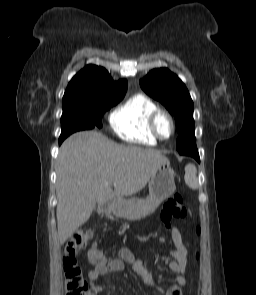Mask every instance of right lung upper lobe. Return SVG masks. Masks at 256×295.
<instances>
[{"label": "right lung upper lobe", "instance_id": "cb5924a9", "mask_svg": "<svg viewBox=\"0 0 256 295\" xmlns=\"http://www.w3.org/2000/svg\"><path fill=\"white\" fill-rule=\"evenodd\" d=\"M126 90V80L114 82L103 67L88 65L69 82L62 105L66 107L100 98L117 97L125 94Z\"/></svg>", "mask_w": 256, "mask_h": 295}]
</instances>
